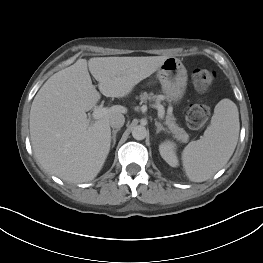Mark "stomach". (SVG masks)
Segmentation results:
<instances>
[{
    "label": "stomach",
    "mask_w": 263,
    "mask_h": 263,
    "mask_svg": "<svg viewBox=\"0 0 263 263\" xmlns=\"http://www.w3.org/2000/svg\"><path fill=\"white\" fill-rule=\"evenodd\" d=\"M162 91L170 102H178L182 99L187 86V70L182 62L175 57H168L158 68Z\"/></svg>",
    "instance_id": "obj_1"
}]
</instances>
